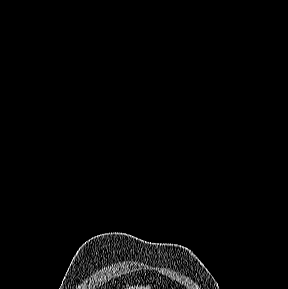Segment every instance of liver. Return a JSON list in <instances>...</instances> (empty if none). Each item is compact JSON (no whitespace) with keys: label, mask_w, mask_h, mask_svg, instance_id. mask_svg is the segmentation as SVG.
I'll return each mask as SVG.
<instances>
[{"label":"liver","mask_w":288,"mask_h":289,"mask_svg":"<svg viewBox=\"0 0 288 289\" xmlns=\"http://www.w3.org/2000/svg\"><path fill=\"white\" fill-rule=\"evenodd\" d=\"M127 289H150V286H129Z\"/></svg>","instance_id":"obj_1"}]
</instances>
